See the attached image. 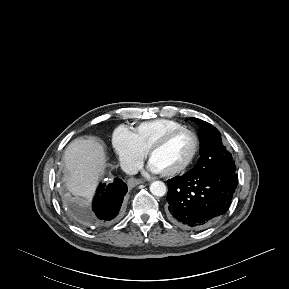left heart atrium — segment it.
<instances>
[{
	"mask_svg": "<svg viewBox=\"0 0 289 289\" xmlns=\"http://www.w3.org/2000/svg\"><path fill=\"white\" fill-rule=\"evenodd\" d=\"M148 170L153 173H159V171L151 163L148 164Z\"/></svg>",
	"mask_w": 289,
	"mask_h": 289,
	"instance_id": "left-heart-atrium-1",
	"label": "left heart atrium"
}]
</instances>
